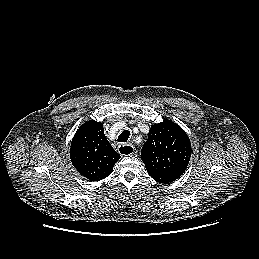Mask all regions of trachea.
Listing matches in <instances>:
<instances>
[{"instance_id": "trachea-1", "label": "trachea", "mask_w": 259, "mask_h": 259, "mask_svg": "<svg viewBox=\"0 0 259 259\" xmlns=\"http://www.w3.org/2000/svg\"><path fill=\"white\" fill-rule=\"evenodd\" d=\"M130 136V132L129 130H124L120 133V135L118 136V142H127Z\"/></svg>"}]
</instances>
